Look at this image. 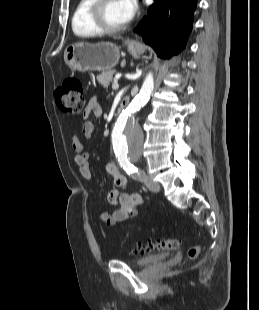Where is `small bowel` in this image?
Returning <instances> with one entry per match:
<instances>
[{
  "instance_id": "c3829d8e",
  "label": "small bowel",
  "mask_w": 259,
  "mask_h": 310,
  "mask_svg": "<svg viewBox=\"0 0 259 310\" xmlns=\"http://www.w3.org/2000/svg\"><path fill=\"white\" fill-rule=\"evenodd\" d=\"M102 107L95 98H91L85 108L84 117L90 115L100 116ZM94 131V125L90 121H86L82 126V134L89 138ZM71 148L73 151V160L79 168L80 175L87 182H92L93 175L89 165V154L83 152V144L77 135L71 137ZM106 173L113 177L114 188L107 194V202L111 205H117L118 208L113 213L101 211L99 219L107 224L114 225L119 222H124L138 214L139 206L142 203V198L138 193H129L122 191L128 186L127 179L120 173L118 167L113 162L104 164Z\"/></svg>"
}]
</instances>
